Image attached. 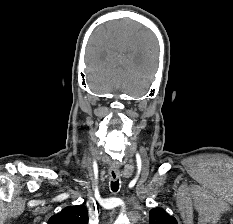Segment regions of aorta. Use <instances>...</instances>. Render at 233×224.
<instances>
[{
  "label": "aorta",
  "mask_w": 233,
  "mask_h": 224,
  "mask_svg": "<svg viewBox=\"0 0 233 224\" xmlns=\"http://www.w3.org/2000/svg\"><path fill=\"white\" fill-rule=\"evenodd\" d=\"M114 224H130V223L127 218L119 217Z\"/></svg>",
  "instance_id": "aorta-1"
}]
</instances>
